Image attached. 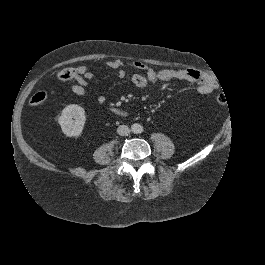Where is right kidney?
Listing matches in <instances>:
<instances>
[{
    "label": "right kidney",
    "mask_w": 265,
    "mask_h": 265,
    "mask_svg": "<svg viewBox=\"0 0 265 265\" xmlns=\"http://www.w3.org/2000/svg\"><path fill=\"white\" fill-rule=\"evenodd\" d=\"M85 121L84 109L76 104L65 107L58 119L63 133L68 137L79 136L82 133Z\"/></svg>",
    "instance_id": "1"
}]
</instances>
